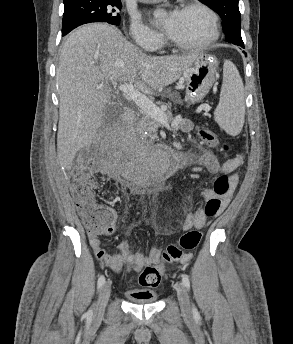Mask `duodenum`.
Instances as JSON below:
<instances>
[{"label": "duodenum", "mask_w": 293, "mask_h": 344, "mask_svg": "<svg viewBox=\"0 0 293 344\" xmlns=\"http://www.w3.org/2000/svg\"><path fill=\"white\" fill-rule=\"evenodd\" d=\"M132 120H133V114L131 112H126L123 117L124 123L125 124L130 123ZM171 158L175 167L185 166L189 162L187 153L173 152Z\"/></svg>", "instance_id": "obj_1"}]
</instances>
